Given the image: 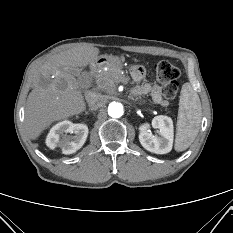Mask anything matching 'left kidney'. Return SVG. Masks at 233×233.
<instances>
[{
	"label": "left kidney",
	"mask_w": 233,
	"mask_h": 233,
	"mask_svg": "<svg viewBox=\"0 0 233 233\" xmlns=\"http://www.w3.org/2000/svg\"><path fill=\"white\" fill-rule=\"evenodd\" d=\"M152 126L159 129L160 136L153 135L150 131V125L144 123L140 125L139 141L148 151L155 154H166L172 150L173 146V121L168 116H155L152 120Z\"/></svg>",
	"instance_id": "obj_1"
}]
</instances>
